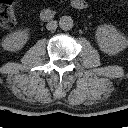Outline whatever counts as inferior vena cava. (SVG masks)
Segmentation results:
<instances>
[{
    "label": "inferior vena cava",
    "mask_w": 128,
    "mask_h": 128,
    "mask_svg": "<svg viewBox=\"0 0 128 128\" xmlns=\"http://www.w3.org/2000/svg\"><path fill=\"white\" fill-rule=\"evenodd\" d=\"M46 28L48 30H55L57 28V21H50L47 23Z\"/></svg>",
    "instance_id": "1"
}]
</instances>
